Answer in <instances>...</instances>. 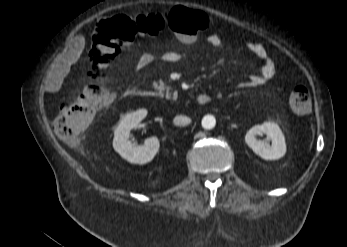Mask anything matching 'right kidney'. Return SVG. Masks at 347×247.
I'll use <instances>...</instances> for the list:
<instances>
[{"label": "right kidney", "instance_id": "1", "mask_svg": "<svg viewBox=\"0 0 347 247\" xmlns=\"http://www.w3.org/2000/svg\"><path fill=\"white\" fill-rule=\"evenodd\" d=\"M146 115L145 109L127 114L120 120L114 131L113 148L130 163H148L152 161L159 150V141L156 137L146 139L142 145H134L129 140L130 131L136 128Z\"/></svg>", "mask_w": 347, "mask_h": 247}]
</instances>
